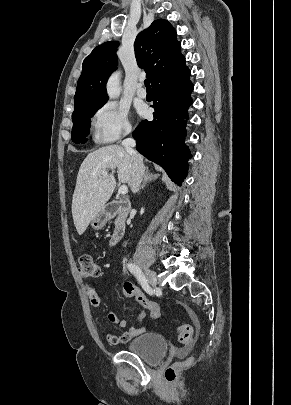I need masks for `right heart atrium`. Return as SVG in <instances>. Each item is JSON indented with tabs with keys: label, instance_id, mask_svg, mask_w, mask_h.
Masks as SVG:
<instances>
[{
	"label": "right heart atrium",
	"instance_id": "1",
	"mask_svg": "<svg viewBox=\"0 0 291 405\" xmlns=\"http://www.w3.org/2000/svg\"><path fill=\"white\" fill-rule=\"evenodd\" d=\"M94 140L109 144L129 134L132 126L126 107L116 102L101 105L91 119Z\"/></svg>",
	"mask_w": 291,
	"mask_h": 405
}]
</instances>
